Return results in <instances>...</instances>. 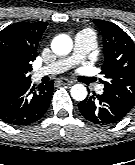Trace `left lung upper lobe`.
<instances>
[{"instance_id":"obj_1","label":"left lung upper lobe","mask_w":135,"mask_h":165,"mask_svg":"<svg viewBox=\"0 0 135 165\" xmlns=\"http://www.w3.org/2000/svg\"><path fill=\"white\" fill-rule=\"evenodd\" d=\"M103 36L105 61L101 74L104 92L132 108L135 105V44L116 24L95 19Z\"/></svg>"}]
</instances>
